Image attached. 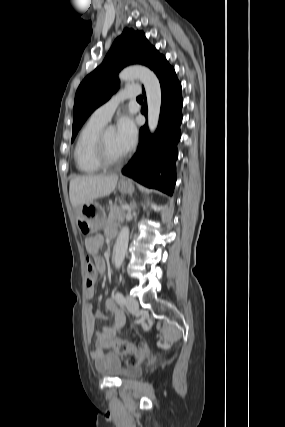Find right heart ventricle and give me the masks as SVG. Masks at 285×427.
<instances>
[{"mask_svg": "<svg viewBox=\"0 0 285 427\" xmlns=\"http://www.w3.org/2000/svg\"><path fill=\"white\" fill-rule=\"evenodd\" d=\"M104 125L91 117L78 134L73 157L77 170L83 174H96L102 169L94 157V145Z\"/></svg>", "mask_w": 285, "mask_h": 427, "instance_id": "right-heart-ventricle-1", "label": "right heart ventricle"}]
</instances>
